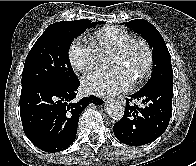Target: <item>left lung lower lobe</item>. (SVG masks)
Masks as SVG:
<instances>
[{
	"label": "left lung lower lobe",
	"mask_w": 196,
	"mask_h": 166,
	"mask_svg": "<svg viewBox=\"0 0 196 166\" xmlns=\"http://www.w3.org/2000/svg\"><path fill=\"white\" fill-rule=\"evenodd\" d=\"M172 81L155 82L126 98L124 115L114 127L115 137L130 146L150 143L164 133L172 111ZM142 100L143 107L131 105Z\"/></svg>",
	"instance_id": "obj_1"
}]
</instances>
